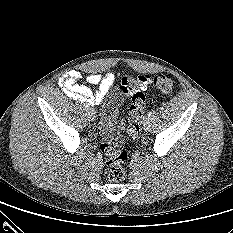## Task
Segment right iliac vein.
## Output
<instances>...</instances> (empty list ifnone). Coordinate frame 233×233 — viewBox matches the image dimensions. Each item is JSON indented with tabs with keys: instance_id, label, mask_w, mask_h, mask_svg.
Here are the masks:
<instances>
[{
	"instance_id": "obj_1",
	"label": "right iliac vein",
	"mask_w": 233,
	"mask_h": 233,
	"mask_svg": "<svg viewBox=\"0 0 233 233\" xmlns=\"http://www.w3.org/2000/svg\"><path fill=\"white\" fill-rule=\"evenodd\" d=\"M88 116H89V119H90L91 121H94V120H95L96 115H95V112H94L93 109L90 108V109L88 110Z\"/></svg>"
}]
</instances>
